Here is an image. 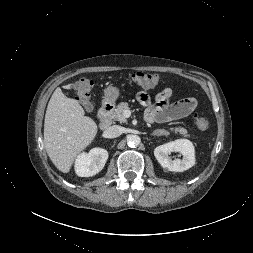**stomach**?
Segmentation results:
<instances>
[{
  "label": "stomach",
  "mask_w": 253,
  "mask_h": 253,
  "mask_svg": "<svg viewBox=\"0 0 253 253\" xmlns=\"http://www.w3.org/2000/svg\"><path fill=\"white\" fill-rule=\"evenodd\" d=\"M119 97V90L116 87L109 86L104 90V101L114 103Z\"/></svg>",
  "instance_id": "obj_1"
}]
</instances>
